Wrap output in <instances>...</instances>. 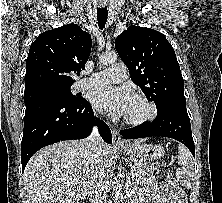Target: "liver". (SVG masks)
I'll use <instances>...</instances> for the list:
<instances>
[{"label": "liver", "instance_id": "6515ba94", "mask_svg": "<svg viewBox=\"0 0 222 203\" xmlns=\"http://www.w3.org/2000/svg\"><path fill=\"white\" fill-rule=\"evenodd\" d=\"M100 152V162L90 160L83 140L61 141L36 152L23 174L30 203H78L86 198L96 171L108 172L113 164L111 146L102 141Z\"/></svg>", "mask_w": 222, "mask_h": 203}]
</instances>
